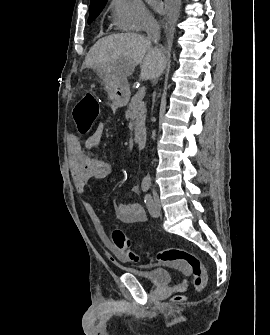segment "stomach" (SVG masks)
Returning a JSON list of instances; mask_svg holds the SVG:
<instances>
[{"label": "stomach", "instance_id": "0dacf381", "mask_svg": "<svg viewBox=\"0 0 270 335\" xmlns=\"http://www.w3.org/2000/svg\"><path fill=\"white\" fill-rule=\"evenodd\" d=\"M102 81L105 82V90L112 106H126L130 98L128 84L115 80V70L112 67H101Z\"/></svg>", "mask_w": 270, "mask_h": 335}]
</instances>
